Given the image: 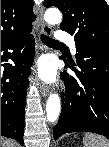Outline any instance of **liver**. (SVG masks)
Instances as JSON below:
<instances>
[{
  "mask_svg": "<svg viewBox=\"0 0 109 147\" xmlns=\"http://www.w3.org/2000/svg\"><path fill=\"white\" fill-rule=\"evenodd\" d=\"M1 146L2 147H17V143L14 140L2 138Z\"/></svg>",
  "mask_w": 109,
  "mask_h": 147,
  "instance_id": "obj_1",
  "label": "liver"
}]
</instances>
